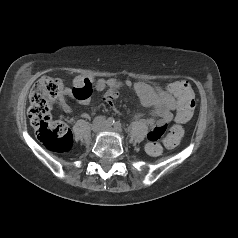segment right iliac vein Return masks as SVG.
I'll return each mask as SVG.
<instances>
[{"label": "right iliac vein", "mask_w": 238, "mask_h": 238, "mask_svg": "<svg viewBox=\"0 0 238 238\" xmlns=\"http://www.w3.org/2000/svg\"><path fill=\"white\" fill-rule=\"evenodd\" d=\"M100 130V125H95L94 126V132H98Z\"/></svg>", "instance_id": "1"}]
</instances>
